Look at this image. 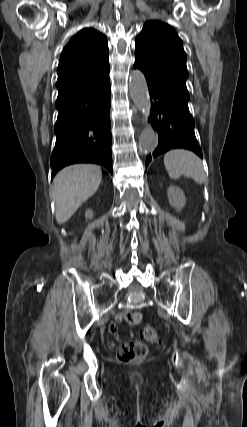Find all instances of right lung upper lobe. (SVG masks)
Returning a JSON list of instances; mask_svg holds the SVG:
<instances>
[{
	"instance_id": "obj_1",
	"label": "right lung upper lobe",
	"mask_w": 247,
	"mask_h": 427,
	"mask_svg": "<svg viewBox=\"0 0 247 427\" xmlns=\"http://www.w3.org/2000/svg\"><path fill=\"white\" fill-rule=\"evenodd\" d=\"M106 37L92 28L79 31L65 46L58 66V97L98 84L109 77Z\"/></svg>"
}]
</instances>
